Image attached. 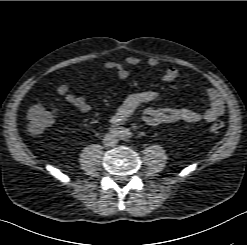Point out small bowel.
<instances>
[{"label": "small bowel", "mask_w": 247, "mask_h": 245, "mask_svg": "<svg viewBox=\"0 0 247 245\" xmlns=\"http://www.w3.org/2000/svg\"><path fill=\"white\" fill-rule=\"evenodd\" d=\"M140 59L136 56L126 58L124 62L105 61L102 66L107 70L116 72L120 79H127L129 71L127 66H137ZM147 64L151 67H157L159 61L156 58H149ZM179 77V71L175 67H168L162 80L165 82H174ZM59 96L77 108L81 113H88L91 105L85 97L75 95L71 92L69 85L61 84L57 88ZM205 96L209 107L204 111H196L186 107H159L147 108L143 113V120L150 126H159L175 122L199 123L202 121L213 122L219 118L224 112V103L220 94L214 88L208 87L205 90ZM161 99L160 93L154 90H144L129 94L119 105L111 116L113 124H121L127 121L135 111L143 104L152 103Z\"/></svg>", "instance_id": "c3829d8e"}]
</instances>
